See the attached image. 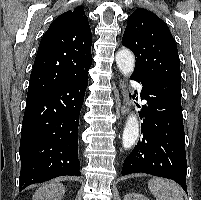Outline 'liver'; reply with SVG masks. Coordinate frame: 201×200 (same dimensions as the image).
I'll return each mask as SVG.
<instances>
[{
  "instance_id": "obj_1",
  "label": "liver",
  "mask_w": 201,
  "mask_h": 200,
  "mask_svg": "<svg viewBox=\"0 0 201 200\" xmlns=\"http://www.w3.org/2000/svg\"><path fill=\"white\" fill-rule=\"evenodd\" d=\"M65 187L61 183L52 182L41 186L33 195V200H61Z\"/></svg>"
}]
</instances>
